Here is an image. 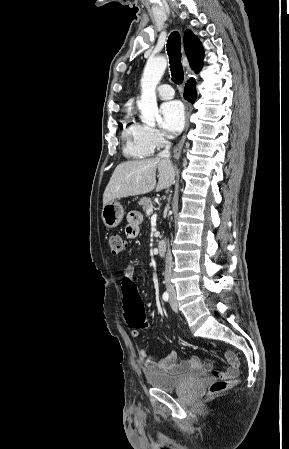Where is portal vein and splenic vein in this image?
Segmentation results:
<instances>
[{
    "label": "portal vein and splenic vein",
    "instance_id": "1",
    "mask_svg": "<svg viewBox=\"0 0 289 449\" xmlns=\"http://www.w3.org/2000/svg\"><path fill=\"white\" fill-rule=\"evenodd\" d=\"M152 213H153V209L152 208H149V209L146 210V214L147 215H151Z\"/></svg>",
    "mask_w": 289,
    "mask_h": 449
}]
</instances>
